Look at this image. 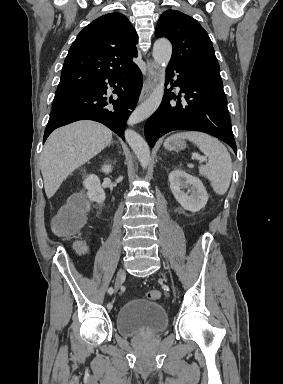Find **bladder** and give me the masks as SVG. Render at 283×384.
<instances>
[{"instance_id":"obj_1","label":"bladder","mask_w":283,"mask_h":384,"mask_svg":"<svg viewBox=\"0 0 283 384\" xmlns=\"http://www.w3.org/2000/svg\"><path fill=\"white\" fill-rule=\"evenodd\" d=\"M116 331L124 337L159 335L168 326L161 303L133 298L116 311Z\"/></svg>"}]
</instances>
